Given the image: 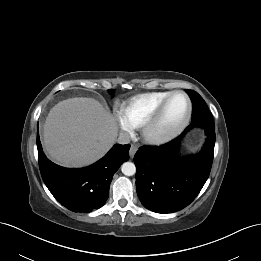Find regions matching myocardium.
I'll return each mask as SVG.
<instances>
[{
	"label": "myocardium",
	"instance_id": "1",
	"mask_svg": "<svg viewBox=\"0 0 261 261\" xmlns=\"http://www.w3.org/2000/svg\"><path fill=\"white\" fill-rule=\"evenodd\" d=\"M175 95H182L187 101V114L184 118V120L173 130L169 132H159L158 127L161 122V119L164 115V112L170 102V100L175 96ZM192 102L190 97L188 96L187 93L181 90H176L171 92L159 105V107L156 109L154 114L151 116V118L144 124L142 127V138L143 140L148 143V144H163L166 142H169L179 136L188 126L191 117H192Z\"/></svg>",
	"mask_w": 261,
	"mask_h": 261
}]
</instances>
